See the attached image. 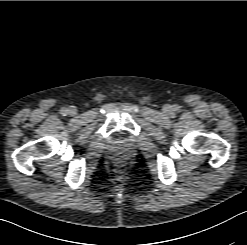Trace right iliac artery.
Returning a JSON list of instances; mask_svg holds the SVG:
<instances>
[{"instance_id":"1","label":"right iliac artery","mask_w":247,"mask_h":245,"mask_svg":"<svg viewBox=\"0 0 247 245\" xmlns=\"http://www.w3.org/2000/svg\"><path fill=\"white\" fill-rule=\"evenodd\" d=\"M67 113H68V109L65 108V107H63V108L61 109V114H62V115H66Z\"/></svg>"}]
</instances>
